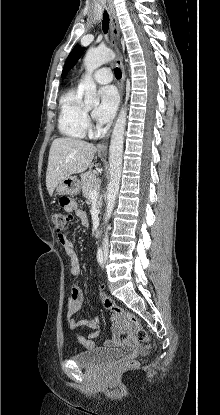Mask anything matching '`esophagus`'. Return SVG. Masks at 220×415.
Masks as SVG:
<instances>
[{
	"label": "esophagus",
	"instance_id": "esophagus-1",
	"mask_svg": "<svg viewBox=\"0 0 220 415\" xmlns=\"http://www.w3.org/2000/svg\"><path fill=\"white\" fill-rule=\"evenodd\" d=\"M109 10L111 14V40L112 44L117 52V60L116 64L119 66L122 76L119 81V94L120 99L122 101L123 92H124V82H125V68L123 64V56L120 50V31H119V24L118 19L115 13V10L112 5L109 4ZM111 134V129L106 133L105 137L101 142L98 143L97 148L100 154H106L108 148V140Z\"/></svg>",
	"mask_w": 220,
	"mask_h": 415
}]
</instances>
